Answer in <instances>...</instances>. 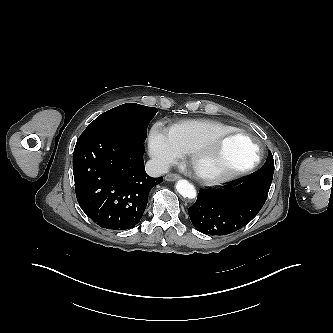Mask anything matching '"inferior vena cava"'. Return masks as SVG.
Instances as JSON below:
<instances>
[{"label": "inferior vena cava", "mask_w": 333, "mask_h": 333, "mask_svg": "<svg viewBox=\"0 0 333 333\" xmlns=\"http://www.w3.org/2000/svg\"><path fill=\"white\" fill-rule=\"evenodd\" d=\"M146 172L149 176L158 177L169 171L170 165L160 158H152L146 163Z\"/></svg>", "instance_id": "602c4592"}]
</instances>
